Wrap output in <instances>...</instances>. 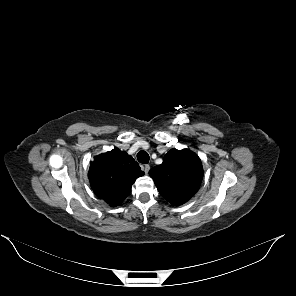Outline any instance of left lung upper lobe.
<instances>
[{"mask_svg":"<svg viewBox=\"0 0 296 296\" xmlns=\"http://www.w3.org/2000/svg\"><path fill=\"white\" fill-rule=\"evenodd\" d=\"M203 174L200 158L188 149H171L163 163L149 171L160 194L175 206L184 204L198 191Z\"/></svg>","mask_w":296,"mask_h":296,"instance_id":"obj_1","label":"left lung upper lobe"}]
</instances>
